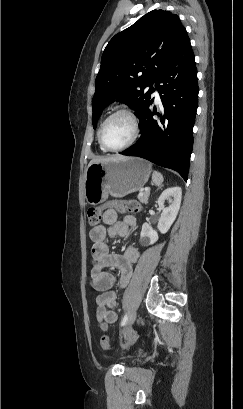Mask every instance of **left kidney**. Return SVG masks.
Returning a JSON list of instances; mask_svg holds the SVG:
<instances>
[{
	"mask_svg": "<svg viewBox=\"0 0 243 409\" xmlns=\"http://www.w3.org/2000/svg\"><path fill=\"white\" fill-rule=\"evenodd\" d=\"M182 198L180 187L167 188L162 192L158 199V205L162 209L161 217L158 222V230L165 234L175 221ZM165 200L169 201V206L165 207ZM158 233L152 229L148 223H144L140 234V243L144 246L154 244L158 241Z\"/></svg>",
	"mask_w": 243,
	"mask_h": 409,
	"instance_id": "1",
	"label": "left kidney"
}]
</instances>
